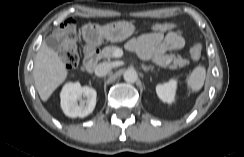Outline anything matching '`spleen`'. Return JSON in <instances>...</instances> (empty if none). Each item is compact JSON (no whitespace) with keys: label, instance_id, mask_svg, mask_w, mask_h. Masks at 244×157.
I'll use <instances>...</instances> for the list:
<instances>
[{"label":"spleen","instance_id":"obj_1","mask_svg":"<svg viewBox=\"0 0 244 157\" xmlns=\"http://www.w3.org/2000/svg\"><path fill=\"white\" fill-rule=\"evenodd\" d=\"M206 68L202 65L195 67L187 76L186 84L191 92H198L204 85Z\"/></svg>","mask_w":244,"mask_h":157}]
</instances>
